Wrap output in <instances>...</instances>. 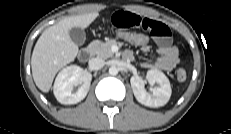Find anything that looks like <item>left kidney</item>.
<instances>
[{
  "label": "left kidney",
  "instance_id": "left-kidney-1",
  "mask_svg": "<svg viewBox=\"0 0 231 134\" xmlns=\"http://www.w3.org/2000/svg\"><path fill=\"white\" fill-rule=\"evenodd\" d=\"M146 80L150 85L155 83L158 86L151 89L148 93L145 89V81L142 77H131V87L137 101L148 107L164 106L171 97V86L169 79L165 74L157 69L149 70L146 74Z\"/></svg>",
  "mask_w": 231,
  "mask_h": 134
}]
</instances>
